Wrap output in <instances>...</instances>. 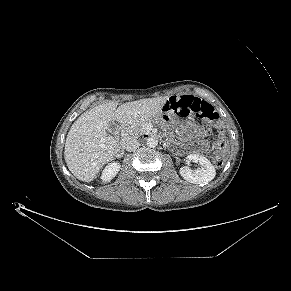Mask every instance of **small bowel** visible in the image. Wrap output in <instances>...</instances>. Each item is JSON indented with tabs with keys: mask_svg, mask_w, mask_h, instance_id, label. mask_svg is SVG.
Here are the masks:
<instances>
[{
	"mask_svg": "<svg viewBox=\"0 0 291 291\" xmlns=\"http://www.w3.org/2000/svg\"><path fill=\"white\" fill-rule=\"evenodd\" d=\"M183 96L193 97L191 95H183ZM200 149L203 151L208 150V143L206 141H201L200 142Z\"/></svg>",
	"mask_w": 291,
	"mask_h": 291,
	"instance_id": "small-bowel-1",
	"label": "small bowel"
}]
</instances>
